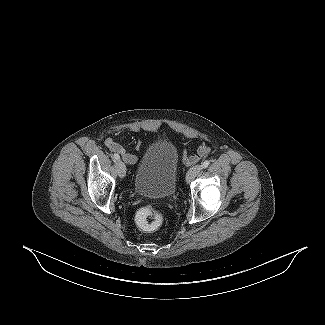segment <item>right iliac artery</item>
Wrapping results in <instances>:
<instances>
[{
	"label": "right iliac artery",
	"instance_id": "82829eb1",
	"mask_svg": "<svg viewBox=\"0 0 325 325\" xmlns=\"http://www.w3.org/2000/svg\"><path fill=\"white\" fill-rule=\"evenodd\" d=\"M113 158H114L116 161H118V160L120 159V156H119L118 154L115 153V154L113 155Z\"/></svg>",
	"mask_w": 325,
	"mask_h": 325
}]
</instances>
